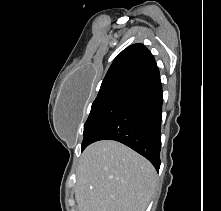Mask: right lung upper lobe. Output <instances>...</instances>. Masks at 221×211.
Returning <instances> with one entry per match:
<instances>
[{"label":"right lung upper lobe","instance_id":"cb5924a9","mask_svg":"<svg viewBox=\"0 0 221 211\" xmlns=\"http://www.w3.org/2000/svg\"><path fill=\"white\" fill-rule=\"evenodd\" d=\"M158 80L160 74L153 55L144 45L133 44L115 58L99 94L120 88L137 90Z\"/></svg>","mask_w":221,"mask_h":211}]
</instances>
